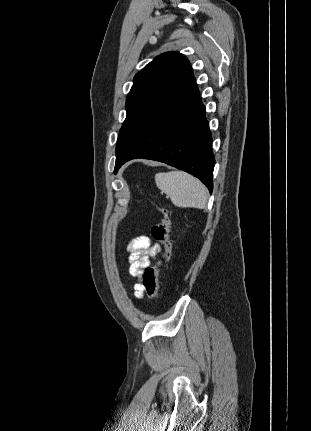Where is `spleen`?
Listing matches in <instances>:
<instances>
[{"mask_svg":"<svg viewBox=\"0 0 311 431\" xmlns=\"http://www.w3.org/2000/svg\"><path fill=\"white\" fill-rule=\"evenodd\" d=\"M155 184L177 208H206L205 186L186 172H160L155 176Z\"/></svg>","mask_w":311,"mask_h":431,"instance_id":"3e777b00","label":"spleen"}]
</instances>
